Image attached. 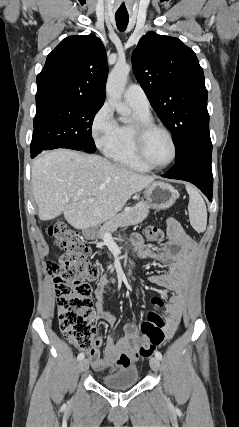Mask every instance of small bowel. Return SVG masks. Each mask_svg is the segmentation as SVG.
Here are the masks:
<instances>
[{"mask_svg":"<svg viewBox=\"0 0 239 427\" xmlns=\"http://www.w3.org/2000/svg\"><path fill=\"white\" fill-rule=\"evenodd\" d=\"M167 234L169 241L160 249L143 250V238L139 234L132 236V244L140 259H154L167 266L163 273L153 275L149 281L157 286L169 290L172 295L165 304L167 338L175 333L185 303V284L188 276L189 264L195 253V246L184 229L175 219L167 220ZM112 277L105 275L98 281L94 295L95 318L106 321L111 327L115 326L116 318L103 308V299L107 285ZM164 305V304H163ZM163 305H152L153 307ZM102 340L94 339L92 349L87 351L92 367L97 371L117 368H128L139 358L138 329L133 323L124 326V335L115 341L111 336L106 340L104 356L99 355Z\"/></svg>","mask_w":239,"mask_h":427,"instance_id":"obj_1","label":"small bowel"}]
</instances>
